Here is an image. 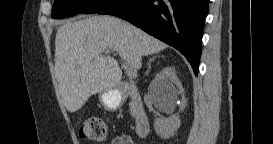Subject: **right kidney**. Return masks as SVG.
Returning a JSON list of instances; mask_svg holds the SVG:
<instances>
[{
    "label": "right kidney",
    "instance_id": "obj_1",
    "mask_svg": "<svg viewBox=\"0 0 273 144\" xmlns=\"http://www.w3.org/2000/svg\"><path fill=\"white\" fill-rule=\"evenodd\" d=\"M153 83L159 87L161 100L168 102L177 99V88H182L179 79L176 76L175 69L171 67L163 68L153 80ZM180 118L178 114L169 117H158L154 120V128L156 133L162 139H168L174 135V132L180 127Z\"/></svg>",
    "mask_w": 273,
    "mask_h": 144
}]
</instances>
